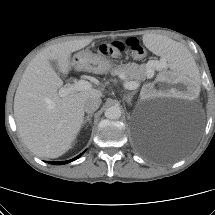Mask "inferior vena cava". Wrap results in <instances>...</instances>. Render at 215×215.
<instances>
[{
    "label": "inferior vena cava",
    "instance_id": "602c4592",
    "mask_svg": "<svg viewBox=\"0 0 215 215\" xmlns=\"http://www.w3.org/2000/svg\"><path fill=\"white\" fill-rule=\"evenodd\" d=\"M101 104L100 98H90L84 103V111L87 113H92L96 111Z\"/></svg>",
    "mask_w": 215,
    "mask_h": 215
}]
</instances>
